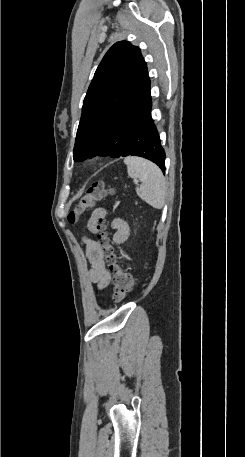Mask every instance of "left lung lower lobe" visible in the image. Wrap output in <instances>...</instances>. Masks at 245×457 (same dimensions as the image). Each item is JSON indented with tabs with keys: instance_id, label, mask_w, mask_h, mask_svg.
<instances>
[{
	"instance_id": "1",
	"label": "left lung lower lobe",
	"mask_w": 245,
	"mask_h": 457,
	"mask_svg": "<svg viewBox=\"0 0 245 457\" xmlns=\"http://www.w3.org/2000/svg\"><path fill=\"white\" fill-rule=\"evenodd\" d=\"M151 96L137 111L118 114L106 127L83 140L75 161L95 155L144 157L165 172V151L151 117Z\"/></svg>"
}]
</instances>
